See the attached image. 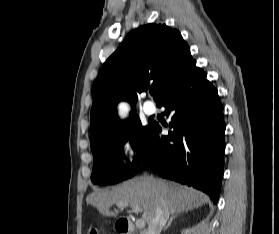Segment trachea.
<instances>
[{
	"mask_svg": "<svg viewBox=\"0 0 279 234\" xmlns=\"http://www.w3.org/2000/svg\"><path fill=\"white\" fill-rule=\"evenodd\" d=\"M150 94H151V95L154 94V89H150Z\"/></svg>",
	"mask_w": 279,
	"mask_h": 234,
	"instance_id": "3493384b",
	"label": "trachea"
}]
</instances>
